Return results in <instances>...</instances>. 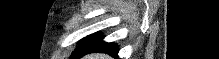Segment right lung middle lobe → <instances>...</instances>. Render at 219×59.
<instances>
[{
  "label": "right lung middle lobe",
  "instance_id": "dd1d6c3e",
  "mask_svg": "<svg viewBox=\"0 0 219 59\" xmlns=\"http://www.w3.org/2000/svg\"><path fill=\"white\" fill-rule=\"evenodd\" d=\"M102 39V35L98 33L87 36L81 41L79 47L73 52L70 59H79L81 55L91 50Z\"/></svg>",
  "mask_w": 219,
  "mask_h": 59
}]
</instances>
